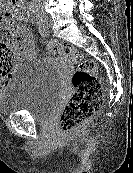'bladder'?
Instances as JSON below:
<instances>
[{
    "label": "bladder",
    "mask_w": 133,
    "mask_h": 173,
    "mask_svg": "<svg viewBox=\"0 0 133 173\" xmlns=\"http://www.w3.org/2000/svg\"><path fill=\"white\" fill-rule=\"evenodd\" d=\"M63 90L62 77L54 66L39 59L25 60L0 92V113L27 112L38 122H48Z\"/></svg>",
    "instance_id": "31cf9c89"
}]
</instances>
